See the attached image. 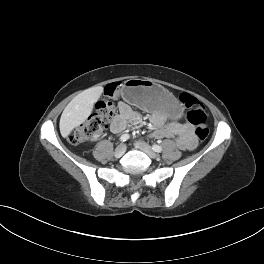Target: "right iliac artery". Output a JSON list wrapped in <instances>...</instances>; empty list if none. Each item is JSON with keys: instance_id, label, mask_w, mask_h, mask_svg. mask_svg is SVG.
Listing matches in <instances>:
<instances>
[{"instance_id": "obj_1", "label": "right iliac artery", "mask_w": 264, "mask_h": 264, "mask_svg": "<svg viewBox=\"0 0 264 264\" xmlns=\"http://www.w3.org/2000/svg\"><path fill=\"white\" fill-rule=\"evenodd\" d=\"M129 138H130L129 134H123V135L120 137V141H121V142H125V141H127Z\"/></svg>"}]
</instances>
